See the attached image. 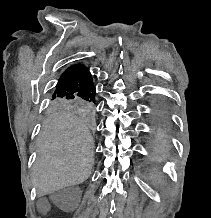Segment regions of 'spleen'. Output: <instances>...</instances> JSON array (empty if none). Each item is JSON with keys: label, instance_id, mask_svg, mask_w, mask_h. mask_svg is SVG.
Returning a JSON list of instances; mask_svg holds the SVG:
<instances>
[{"label": "spleen", "instance_id": "obj_1", "mask_svg": "<svg viewBox=\"0 0 211 218\" xmlns=\"http://www.w3.org/2000/svg\"><path fill=\"white\" fill-rule=\"evenodd\" d=\"M150 178L152 180L153 186H157V188H159V186H162L164 182L161 172H159V170H156V168H153V170H151Z\"/></svg>", "mask_w": 211, "mask_h": 218}]
</instances>
